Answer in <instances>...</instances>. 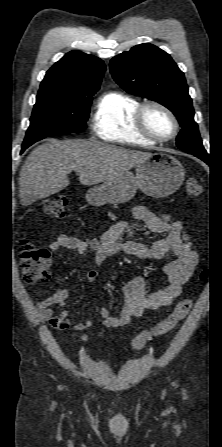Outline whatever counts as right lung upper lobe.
I'll list each match as a JSON object with an SVG mask.
<instances>
[{
    "mask_svg": "<svg viewBox=\"0 0 222 447\" xmlns=\"http://www.w3.org/2000/svg\"><path fill=\"white\" fill-rule=\"evenodd\" d=\"M104 71L101 59L71 51L46 72L40 89L59 90L70 95L96 93Z\"/></svg>",
    "mask_w": 222,
    "mask_h": 447,
    "instance_id": "obj_1",
    "label": "right lung upper lobe"
}]
</instances>
